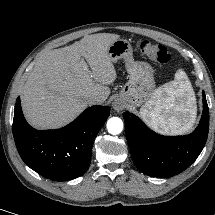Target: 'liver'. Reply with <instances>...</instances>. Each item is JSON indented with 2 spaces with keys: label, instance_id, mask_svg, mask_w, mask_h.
Here are the masks:
<instances>
[{
  "label": "liver",
  "instance_id": "liver-1",
  "mask_svg": "<svg viewBox=\"0 0 215 215\" xmlns=\"http://www.w3.org/2000/svg\"><path fill=\"white\" fill-rule=\"evenodd\" d=\"M119 35H88L72 45L44 52L28 76L21 97L28 122L40 129L59 128L71 122L87 106L88 97L105 101L107 85L117 77L108 47ZM81 57L91 72L83 69Z\"/></svg>",
  "mask_w": 215,
  "mask_h": 215
}]
</instances>
